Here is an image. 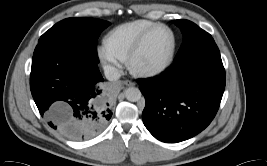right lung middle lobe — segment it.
<instances>
[{"label": "right lung middle lobe", "instance_id": "right-lung-middle-lobe-1", "mask_svg": "<svg viewBox=\"0 0 267 166\" xmlns=\"http://www.w3.org/2000/svg\"><path fill=\"white\" fill-rule=\"evenodd\" d=\"M109 24L89 17L67 18L45 32L38 42L56 41L66 44L98 63L97 39Z\"/></svg>", "mask_w": 267, "mask_h": 166}]
</instances>
